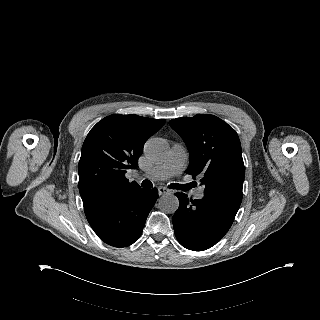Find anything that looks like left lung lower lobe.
Returning <instances> with one entry per match:
<instances>
[{"label": "left lung lower lobe", "mask_w": 320, "mask_h": 320, "mask_svg": "<svg viewBox=\"0 0 320 320\" xmlns=\"http://www.w3.org/2000/svg\"><path fill=\"white\" fill-rule=\"evenodd\" d=\"M179 208L173 215L178 242L193 251H203L215 245L231 227L238 209L215 198L189 199L176 193Z\"/></svg>", "instance_id": "1"}]
</instances>
